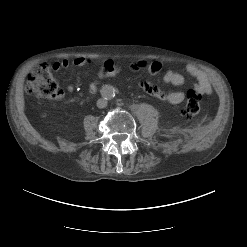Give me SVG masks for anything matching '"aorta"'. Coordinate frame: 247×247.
<instances>
[{
    "instance_id": "obj_1",
    "label": "aorta",
    "mask_w": 247,
    "mask_h": 247,
    "mask_svg": "<svg viewBox=\"0 0 247 247\" xmlns=\"http://www.w3.org/2000/svg\"><path fill=\"white\" fill-rule=\"evenodd\" d=\"M116 94V89L111 86V85H106L103 88V95L107 98V99H112L115 97Z\"/></svg>"
}]
</instances>
